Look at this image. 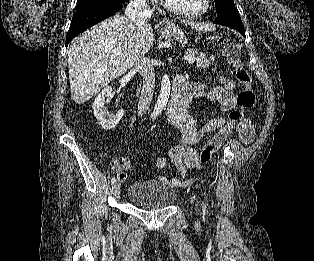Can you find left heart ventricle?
<instances>
[{
	"label": "left heart ventricle",
	"instance_id": "1",
	"mask_svg": "<svg viewBox=\"0 0 314 261\" xmlns=\"http://www.w3.org/2000/svg\"><path fill=\"white\" fill-rule=\"evenodd\" d=\"M174 6L187 10L195 11L203 7L205 0H169Z\"/></svg>",
	"mask_w": 314,
	"mask_h": 261
}]
</instances>
